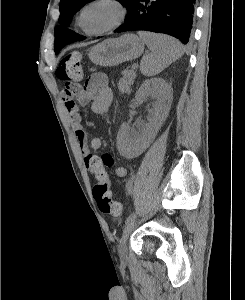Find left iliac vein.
I'll return each instance as SVG.
<instances>
[{
	"label": "left iliac vein",
	"mask_w": 245,
	"mask_h": 300,
	"mask_svg": "<svg viewBox=\"0 0 245 300\" xmlns=\"http://www.w3.org/2000/svg\"><path fill=\"white\" fill-rule=\"evenodd\" d=\"M137 220L134 218L130 222H128L123 230L122 237L120 239L119 245H118V254L122 261L127 260V240L131 232L136 226Z\"/></svg>",
	"instance_id": "obj_1"
}]
</instances>
